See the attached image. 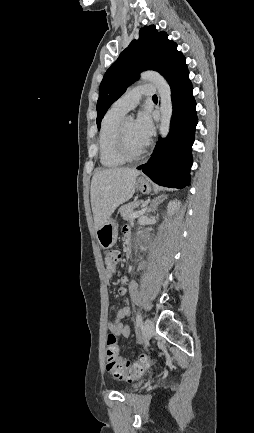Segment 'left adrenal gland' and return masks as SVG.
Here are the masks:
<instances>
[{"label": "left adrenal gland", "mask_w": 254, "mask_h": 433, "mask_svg": "<svg viewBox=\"0 0 254 433\" xmlns=\"http://www.w3.org/2000/svg\"><path fill=\"white\" fill-rule=\"evenodd\" d=\"M165 199H167V196L162 195L154 198L151 202L150 208L148 209V212H155L157 210L158 205L163 202Z\"/></svg>", "instance_id": "left-adrenal-gland-1"}]
</instances>
